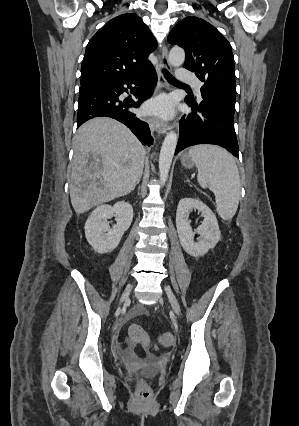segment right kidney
Instances as JSON below:
<instances>
[{
    "mask_svg": "<svg viewBox=\"0 0 299 426\" xmlns=\"http://www.w3.org/2000/svg\"><path fill=\"white\" fill-rule=\"evenodd\" d=\"M114 215L117 216V223L110 228L107 219ZM132 220L133 208L128 202L118 201L113 206L101 205L90 214L85 223L86 239L95 252H111L118 246Z\"/></svg>",
    "mask_w": 299,
    "mask_h": 426,
    "instance_id": "right-kidney-1",
    "label": "right kidney"
}]
</instances>
